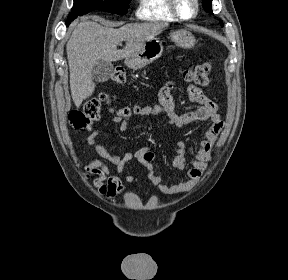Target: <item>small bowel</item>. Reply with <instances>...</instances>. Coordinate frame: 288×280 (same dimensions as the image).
Listing matches in <instances>:
<instances>
[{"instance_id": "obj_1", "label": "small bowel", "mask_w": 288, "mask_h": 280, "mask_svg": "<svg viewBox=\"0 0 288 280\" xmlns=\"http://www.w3.org/2000/svg\"><path fill=\"white\" fill-rule=\"evenodd\" d=\"M173 86V81L166 83L158 93V104L140 108L138 115H164L171 125L178 128H184L192 123L210 122L205 129L204 139L200 142L197 149H194L184 141L179 142L176 146V155L171 162V166L185 171V178L174 183H168L165 178L154 174L152 168L154 154L148 147L129 151L123 156L107 150L98 140L102 130L109 125L105 124L101 129L91 133L87 143L89 146L94 147L99 156L115 164L120 176L112 175L110 169L99 160H92L86 166L85 171L87 175L95 176L93 184L101 195L108 199H114L124 192L125 183H132L134 180L133 176L127 173L124 167L127 162L133 160L141 163L147 169L148 180L163 194L174 195L186 192L194 188L199 182L212 158L213 147L224 124L217 112V105L195 85L188 87V97L190 101L199 105L198 108L190 112L179 113L171 93ZM113 122L120 124V132H125L128 129V120L116 117Z\"/></svg>"}]
</instances>
